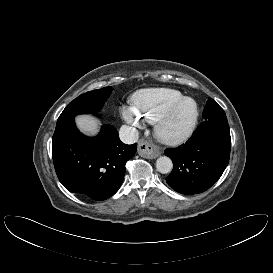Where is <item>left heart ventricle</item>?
Wrapping results in <instances>:
<instances>
[{
    "label": "left heart ventricle",
    "mask_w": 273,
    "mask_h": 273,
    "mask_svg": "<svg viewBox=\"0 0 273 273\" xmlns=\"http://www.w3.org/2000/svg\"><path fill=\"white\" fill-rule=\"evenodd\" d=\"M194 115V105L192 102L183 104L172 116L166 125L165 132L170 135L183 131Z\"/></svg>",
    "instance_id": "left-heart-ventricle-1"
}]
</instances>
